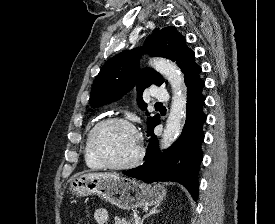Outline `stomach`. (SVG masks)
Listing matches in <instances>:
<instances>
[{"instance_id": "obj_1", "label": "stomach", "mask_w": 275, "mask_h": 224, "mask_svg": "<svg viewBox=\"0 0 275 224\" xmlns=\"http://www.w3.org/2000/svg\"><path fill=\"white\" fill-rule=\"evenodd\" d=\"M70 190L78 196L97 195L123 210L160 204L166 196L161 184L145 185L112 173L83 174L72 179Z\"/></svg>"}]
</instances>
